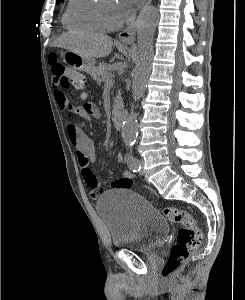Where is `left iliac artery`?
<instances>
[{
	"instance_id": "obj_1",
	"label": "left iliac artery",
	"mask_w": 245,
	"mask_h": 300,
	"mask_svg": "<svg viewBox=\"0 0 245 300\" xmlns=\"http://www.w3.org/2000/svg\"><path fill=\"white\" fill-rule=\"evenodd\" d=\"M128 165L133 172H139L141 170V165L132 152H130L128 156Z\"/></svg>"
}]
</instances>
